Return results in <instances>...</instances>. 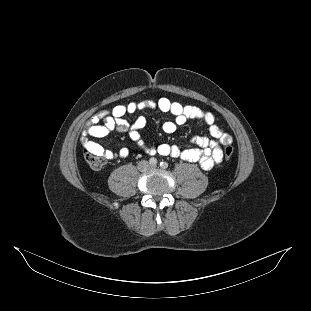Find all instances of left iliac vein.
Segmentation results:
<instances>
[{"label": "left iliac vein", "instance_id": "1", "mask_svg": "<svg viewBox=\"0 0 311 311\" xmlns=\"http://www.w3.org/2000/svg\"><path fill=\"white\" fill-rule=\"evenodd\" d=\"M156 166H152L151 168H155Z\"/></svg>", "mask_w": 311, "mask_h": 311}]
</instances>
